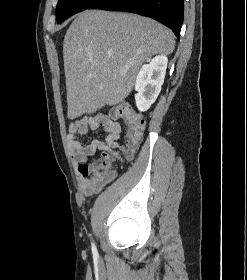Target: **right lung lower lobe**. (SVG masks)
I'll return each instance as SVG.
<instances>
[{"label": "right lung lower lobe", "mask_w": 247, "mask_h": 280, "mask_svg": "<svg viewBox=\"0 0 247 280\" xmlns=\"http://www.w3.org/2000/svg\"><path fill=\"white\" fill-rule=\"evenodd\" d=\"M90 9L116 10L158 20L172 29L177 38L184 18L183 0H98Z\"/></svg>", "instance_id": "right-lung-lower-lobe-1"}]
</instances>
